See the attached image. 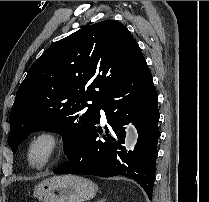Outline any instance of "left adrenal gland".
I'll use <instances>...</instances> for the list:
<instances>
[{"instance_id": "a2214340", "label": "left adrenal gland", "mask_w": 209, "mask_h": 202, "mask_svg": "<svg viewBox=\"0 0 209 202\" xmlns=\"http://www.w3.org/2000/svg\"><path fill=\"white\" fill-rule=\"evenodd\" d=\"M105 201V199H100L99 201H97V202H104Z\"/></svg>"}]
</instances>
